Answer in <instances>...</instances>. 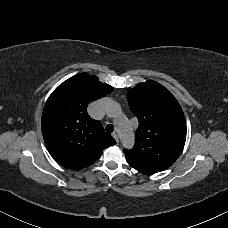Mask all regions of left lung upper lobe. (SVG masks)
Segmentation results:
<instances>
[{"instance_id":"1","label":"left lung upper lobe","mask_w":228,"mask_h":228,"mask_svg":"<svg viewBox=\"0 0 228 228\" xmlns=\"http://www.w3.org/2000/svg\"><path fill=\"white\" fill-rule=\"evenodd\" d=\"M127 100L139 126L133 149L124 151L126 158L159 171L169 168L186 140V121L178 101L152 80L128 90Z\"/></svg>"}]
</instances>
